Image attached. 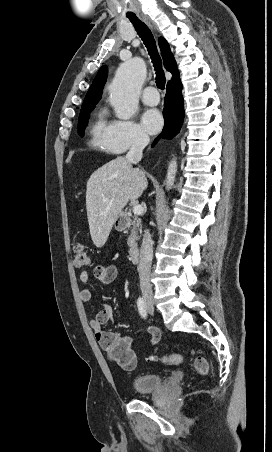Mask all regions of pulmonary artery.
Instances as JSON below:
<instances>
[{
	"instance_id": "e3ab8cb5",
	"label": "pulmonary artery",
	"mask_w": 272,
	"mask_h": 452,
	"mask_svg": "<svg viewBox=\"0 0 272 452\" xmlns=\"http://www.w3.org/2000/svg\"><path fill=\"white\" fill-rule=\"evenodd\" d=\"M142 101L146 105L154 106L159 103V95L153 86H147L142 93Z\"/></svg>"
}]
</instances>
